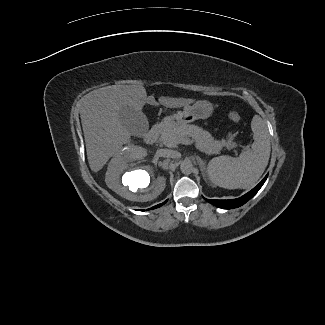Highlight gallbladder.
Masks as SVG:
<instances>
[{
  "label": "gallbladder",
  "mask_w": 325,
  "mask_h": 325,
  "mask_svg": "<svg viewBox=\"0 0 325 325\" xmlns=\"http://www.w3.org/2000/svg\"><path fill=\"white\" fill-rule=\"evenodd\" d=\"M119 118L123 126L133 136L144 137L148 131L149 124L147 117L141 111L131 107H123L119 112Z\"/></svg>",
  "instance_id": "obj_1"
}]
</instances>
